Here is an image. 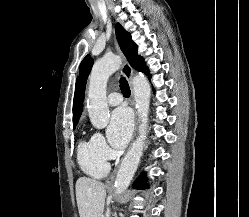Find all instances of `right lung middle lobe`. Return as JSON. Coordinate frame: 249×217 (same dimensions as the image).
Masks as SVG:
<instances>
[{"label": "right lung middle lobe", "instance_id": "obj_1", "mask_svg": "<svg viewBox=\"0 0 249 217\" xmlns=\"http://www.w3.org/2000/svg\"><path fill=\"white\" fill-rule=\"evenodd\" d=\"M76 127V125H73V128H75Z\"/></svg>", "mask_w": 249, "mask_h": 217}]
</instances>
